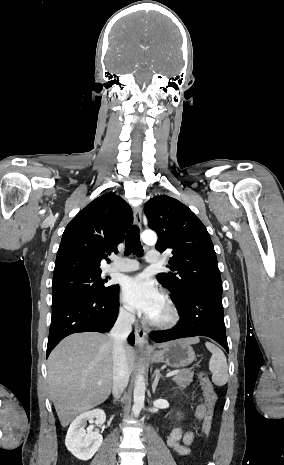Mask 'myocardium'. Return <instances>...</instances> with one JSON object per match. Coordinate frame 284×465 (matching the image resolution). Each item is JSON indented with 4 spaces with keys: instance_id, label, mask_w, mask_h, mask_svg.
I'll return each instance as SVG.
<instances>
[{
    "instance_id": "myocardium-1",
    "label": "myocardium",
    "mask_w": 284,
    "mask_h": 465,
    "mask_svg": "<svg viewBox=\"0 0 284 465\" xmlns=\"http://www.w3.org/2000/svg\"><path fill=\"white\" fill-rule=\"evenodd\" d=\"M162 302L167 310V318L165 320L159 321L148 317L147 323L156 329L168 330L176 326L178 323L179 313L173 301L169 297L164 296Z\"/></svg>"
}]
</instances>
